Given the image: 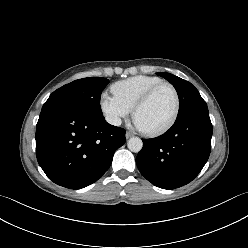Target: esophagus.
I'll return each instance as SVG.
<instances>
[{"label": "esophagus", "mask_w": 248, "mask_h": 248, "mask_svg": "<svg viewBox=\"0 0 248 248\" xmlns=\"http://www.w3.org/2000/svg\"><path fill=\"white\" fill-rule=\"evenodd\" d=\"M125 136H126L127 139H129V138H131L133 136V134L131 132L127 131Z\"/></svg>", "instance_id": "1"}]
</instances>
